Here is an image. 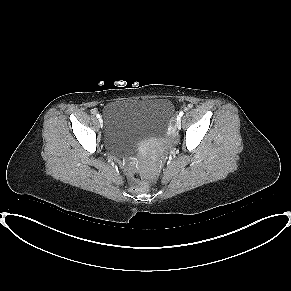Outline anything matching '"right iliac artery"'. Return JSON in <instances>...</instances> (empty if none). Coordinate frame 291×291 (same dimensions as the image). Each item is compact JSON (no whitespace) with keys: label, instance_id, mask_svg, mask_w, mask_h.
<instances>
[{"label":"right iliac artery","instance_id":"82829eb1","mask_svg":"<svg viewBox=\"0 0 291 291\" xmlns=\"http://www.w3.org/2000/svg\"><path fill=\"white\" fill-rule=\"evenodd\" d=\"M96 117H97V118H100V114H96Z\"/></svg>","mask_w":291,"mask_h":291}]
</instances>
